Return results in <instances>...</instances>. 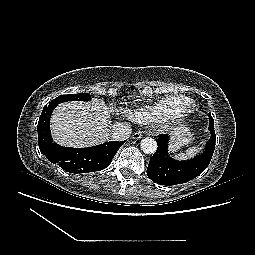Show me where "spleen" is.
<instances>
[{"instance_id": "spleen-1", "label": "spleen", "mask_w": 255, "mask_h": 255, "mask_svg": "<svg viewBox=\"0 0 255 255\" xmlns=\"http://www.w3.org/2000/svg\"><path fill=\"white\" fill-rule=\"evenodd\" d=\"M201 150V147H191V148H188L185 153H178V154H175L174 157L175 159H178V160H186L188 158H192L194 157L199 151Z\"/></svg>"}]
</instances>
